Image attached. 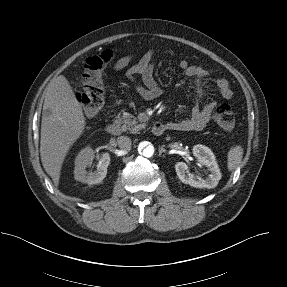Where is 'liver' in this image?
Wrapping results in <instances>:
<instances>
[{"instance_id":"liver-1","label":"liver","mask_w":287,"mask_h":287,"mask_svg":"<svg viewBox=\"0 0 287 287\" xmlns=\"http://www.w3.org/2000/svg\"><path fill=\"white\" fill-rule=\"evenodd\" d=\"M84 128L85 117L68 80L63 75L53 78L43 104L40 155L55 186L59 184L65 156Z\"/></svg>"}]
</instances>
